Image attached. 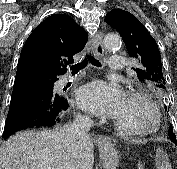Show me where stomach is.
Returning a JSON list of instances; mask_svg holds the SVG:
<instances>
[{"mask_svg":"<svg viewBox=\"0 0 177 169\" xmlns=\"http://www.w3.org/2000/svg\"><path fill=\"white\" fill-rule=\"evenodd\" d=\"M100 160L103 169H117L120 160V153L116 149L115 144L111 142L103 144L99 148Z\"/></svg>","mask_w":177,"mask_h":169,"instance_id":"1","label":"stomach"}]
</instances>
